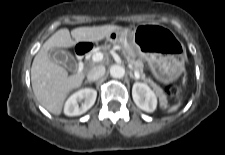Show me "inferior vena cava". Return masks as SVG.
<instances>
[{
    "label": "inferior vena cava",
    "instance_id": "inferior-vena-cava-1",
    "mask_svg": "<svg viewBox=\"0 0 225 155\" xmlns=\"http://www.w3.org/2000/svg\"><path fill=\"white\" fill-rule=\"evenodd\" d=\"M105 74V67L103 65L94 66L87 74L88 81H95Z\"/></svg>",
    "mask_w": 225,
    "mask_h": 155
}]
</instances>
